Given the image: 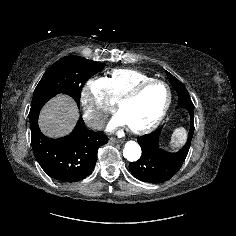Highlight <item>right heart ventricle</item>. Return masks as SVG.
<instances>
[{
	"label": "right heart ventricle",
	"mask_w": 236,
	"mask_h": 236,
	"mask_svg": "<svg viewBox=\"0 0 236 236\" xmlns=\"http://www.w3.org/2000/svg\"><path fill=\"white\" fill-rule=\"evenodd\" d=\"M102 79L105 82L108 97L113 101H117L136 85L153 78L136 69L117 68L110 71Z\"/></svg>",
	"instance_id": "e07e8e85"
}]
</instances>
